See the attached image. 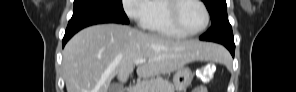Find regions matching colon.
<instances>
[{
    "instance_id": "5ec220e1",
    "label": "colon",
    "mask_w": 296,
    "mask_h": 92,
    "mask_svg": "<svg viewBox=\"0 0 296 92\" xmlns=\"http://www.w3.org/2000/svg\"><path fill=\"white\" fill-rule=\"evenodd\" d=\"M213 75V69L210 66L201 68L198 71V76L203 80H209ZM193 92H208V89L205 86H198L193 89Z\"/></svg>"
}]
</instances>
